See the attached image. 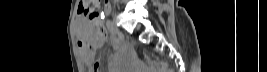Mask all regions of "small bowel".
<instances>
[{"mask_svg":"<svg viewBox=\"0 0 267 72\" xmlns=\"http://www.w3.org/2000/svg\"><path fill=\"white\" fill-rule=\"evenodd\" d=\"M103 9L105 12H110L111 6L108 3H105L103 6ZM105 39H106L105 35L100 36V37L92 35L90 38V41H91V44L94 48H98V47L103 45V43L105 42ZM115 42H118V39H115ZM82 57H83V60L85 62H89L93 58V53L85 51L82 53ZM110 70H112V62L111 61H110Z\"/></svg>","mask_w":267,"mask_h":72,"instance_id":"1","label":"small bowel"}]
</instances>
